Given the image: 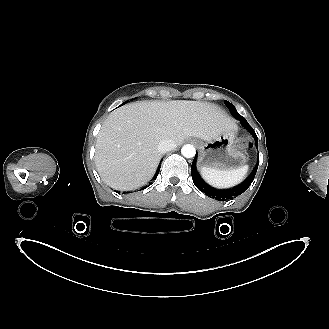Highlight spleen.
I'll return each instance as SVG.
<instances>
[{
    "label": "spleen",
    "instance_id": "spleen-1",
    "mask_svg": "<svg viewBox=\"0 0 329 329\" xmlns=\"http://www.w3.org/2000/svg\"><path fill=\"white\" fill-rule=\"evenodd\" d=\"M248 166L238 169L222 171L209 168H202V178L210 185L216 188H229L239 184L246 176Z\"/></svg>",
    "mask_w": 329,
    "mask_h": 329
}]
</instances>
